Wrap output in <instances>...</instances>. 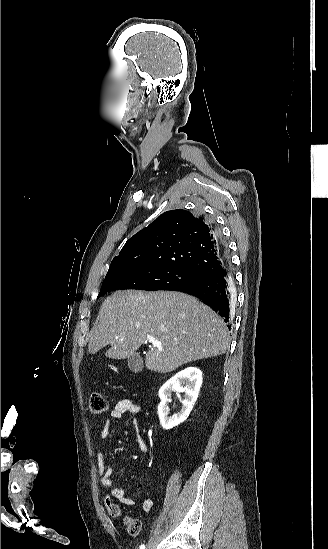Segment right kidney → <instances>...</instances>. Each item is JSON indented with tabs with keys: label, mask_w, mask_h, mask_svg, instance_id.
I'll list each match as a JSON object with an SVG mask.
<instances>
[{
	"label": "right kidney",
	"mask_w": 328,
	"mask_h": 549,
	"mask_svg": "<svg viewBox=\"0 0 328 549\" xmlns=\"http://www.w3.org/2000/svg\"><path fill=\"white\" fill-rule=\"evenodd\" d=\"M182 385H185V387H182ZM201 385L202 371L197 369V367H187V369L180 371V373H176L174 377H171L169 381H166V383L162 385L158 393L161 399V403L158 405V415L163 429L168 431V429H173V427H177V425L186 421L198 397ZM172 391L185 393L186 397L181 401L183 405L181 413H179V415H173V417H168V403H171L170 397Z\"/></svg>",
	"instance_id": "ca27d5eb"
}]
</instances>
